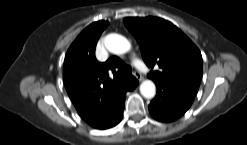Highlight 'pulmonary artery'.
Instances as JSON below:
<instances>
[{
    "label": "pulmonary artery",
    "instance_id": "pulmonary-artery-1",
    "mask_svg": "<svg viewBox=\"0 0 247 145\" xmlns=\"http://www.w3.org/2000/svg\"><path fill=\"white\" fill-rule=\"evenodd\" d=\"M135 64L142 70H144V65L143 63H141L140 61L136 60V59H133Z\"/></svg>",
    "mask_w": 247,
    "mask_h": 145
}]
</instances>
